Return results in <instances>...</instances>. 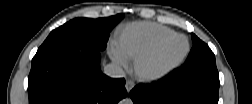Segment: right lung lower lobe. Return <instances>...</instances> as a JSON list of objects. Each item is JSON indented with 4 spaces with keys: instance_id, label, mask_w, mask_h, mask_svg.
<instances>
[{
    "instance_id": "1",
    "label": "right lung lower lobe",
    "mask_w": 252,
    "mask_h": 104,
    "mask_svg": "<svg viewBox=\"0 0 252 104\" xmlns=\"http://www.w3.org/2000/svg\"><path fill=\"white\" fill-rule=\"evenodd\" d=\"M28 95L29 104H117L127 91L123 78L101 72L99 51L66 45L36 53Z\"/></svg>"
}]
</instances>
